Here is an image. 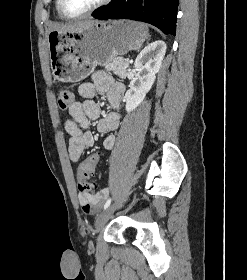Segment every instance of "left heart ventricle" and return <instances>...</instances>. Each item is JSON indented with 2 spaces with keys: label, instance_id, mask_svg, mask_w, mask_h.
Segmentation results:
<instances>
[{
  "label": "left heart ventricle",
  "instance_id": "obj_1",
  "mask_svg": "<svg viewBox=\"0 0 247 280\" xmlns=\"http://www.w3.org/2000/svg\"><path fill=\"white\" fill-rule=\"evenodd\" d=\"M99 1L100 0H64V4L66 11L74 15L88 10Z\"/></svg>",
  "mask_w": 247,
  "mask_h": 280
}]
</instances>
